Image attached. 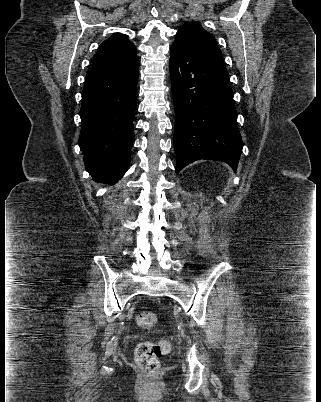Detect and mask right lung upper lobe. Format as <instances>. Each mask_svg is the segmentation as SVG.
<instances>
[{
    "label": "right lung upper lobe",
    "instance_id": "1",
    "mask_svg": "<svg viewBox=\"0 0 321 402\" xmlns=\"http://www.w3.org/2000/svg\"><path fill=\"white\" fill-rule=\"evenodd\" d=\"M139 65L136 47L126 35L115 33L98 48L91 70L124 69Z\"/></svg>",
    "mask_w": 321,
    "mask_h": 402
}]
</instances>
